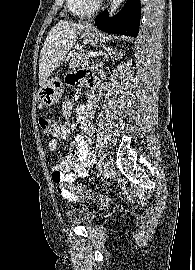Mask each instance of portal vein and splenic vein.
I'll use <instances>...</instances> for the list:
<instances>
[{"mask_svg":"<svg viewBox=\"0 0 195 270\" xmlns=\"http://www.w3.org/2000/svg\"><path fill=\"white\" fill-rule=\"evenodd\" d=\"M103 54L104 53H102V52H90V53H88V57H97V56H101Z\"/></svg>","mask_w":195,"mask_h":270,"instance_id":"18ae733b","label":"portal vein and splenic vein"}]
</instances>
